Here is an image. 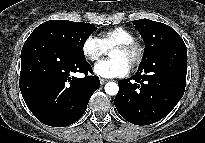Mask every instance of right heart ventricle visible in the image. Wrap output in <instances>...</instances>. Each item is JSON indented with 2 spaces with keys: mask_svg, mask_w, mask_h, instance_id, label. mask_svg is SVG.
Here are the masks:
<instances>
[{
  "mask_svg": "<svg viewBox=\"0 0 205 143\" xmlns=\"http://www.w3.org/2000/svg\"><path fill=\"white\" fill-rule=\"evenodd\" d=\"M99 39L106 50H109L119 43L132 41L135 37L130 30L123 27H116L102 32Z\"/></svg>",
  "mask_w": 205,
  "mask_h": 143,
  "instance_id": "e07e8e85",
  "label": "right heart ventricle"
}]
</instances>
